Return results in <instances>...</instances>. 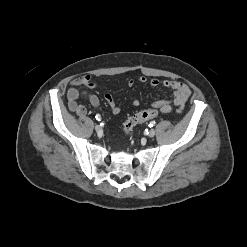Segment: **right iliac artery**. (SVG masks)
Segmentation results:
<instances>
[{
	"instance_id": "obj_1",
	"label": "right iliac artery",
	"mask_w": 247,
	"mask_h": 247,
	"mask_svg": "<svg viewBox=\"0 0 247 247\" xmlns=\"http://www.w3.org/2000/svg\"><path fill=\"white\" fill-rule=\"evenodd\" d=\"M96 120L100 121L101 120V116L99 114L96 115Z\"/></svg>"
}]
</instances>
